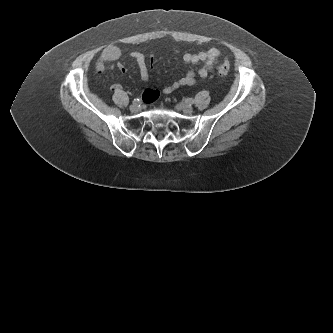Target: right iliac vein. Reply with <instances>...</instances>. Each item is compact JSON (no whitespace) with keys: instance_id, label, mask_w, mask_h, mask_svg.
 Here are the masks:
<instances>
[{"instance_id":"obj_1","label":"right iliac vein","mask_w":333,"mask_h":333,"mask_svg":"<svg viewBox=\"0 0 333 333\" xmlns=\"http://www.w3.org/2000/svg\"><path fill=\"white\" fill-rule=\"evenodd\" d=\"M141 110V106L140 104L138 103H133L131 106H130V111L133 112V113H137Z\"/></svg>"}]
</instances>
